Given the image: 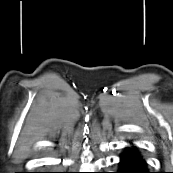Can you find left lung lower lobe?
Listing matches in <instances>:
<instances>
[{
    "mask_svg": "<svg viewBox=\"0 0 173 173\" xmlns=\"http://www.w3.org/2000/svg\"><path fill=\"white\" fill-rule=\"evenodd\" d=\"M117 173H150L146 161L136 146L126 147L120 155Z\"/></svg>",
    "mask_w": 173,
    "mask_h": 173,
    "instance_id": "0a47b994",
    "label": "left lung lower lobe"
}]
</instances>
